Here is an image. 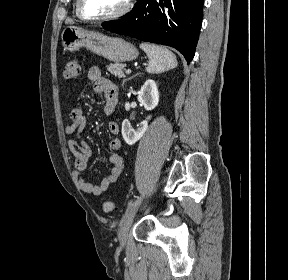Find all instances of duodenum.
Masks as SVG:
<instances>
[{"label": "duodenum", "mask_w": 288, "mask_h": 280, "mask_svg": "<svg viewBox=\"0 0 288 280\" xmlns=\"http://www.w3.org/2000/svg\"><path fill=\"white\" fill-rule=\"evenodd\" d=\"M116 104H117V101H115V100L111 101V103H110V109H111V110H114L115 107H116Z\"/></svg>", "instance_id": "1"}]
</instances>
